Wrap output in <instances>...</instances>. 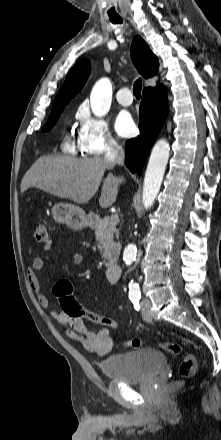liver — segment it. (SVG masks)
<instances>
[{"mask_svg":"<svg viewBox=\"0 0 221 440\" xmlns=\"http://www.w3.org/2000/svg\"><path fill=\"white\" fill-rule=\"evenodd\" d=\"M112 167L99 156L89 159L43 156L24 175L21 192L35 187L84 204L96 194L103 180L99 205L107 208L116 201L118 187L123 180L112 173L103 179L105 170Z\"/></svg>","mask_w":221,"mask_h":440,"instance_id":"obj_1","label":"liver"}]
</instances>
